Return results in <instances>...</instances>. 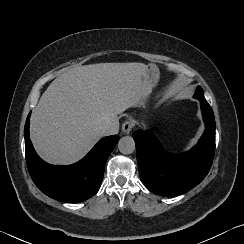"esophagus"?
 <instances>
[{
	"mask_svg": "<svg viewBox=\"0 0 244 244\" xmlns=\"http://www.w3.org/2000/svg\"><path fill=\"white\" fill-rule=\"evenodd\" d=\"M133 126H134V122L132 120H126L122 125V131L125 134H128L132 130Z\"/></svg>",
	"mask_w": 244,
	"mask_h": 244,
	"instance_id": "34e87169",
	"label": "esophagus"
}]
</instances>
